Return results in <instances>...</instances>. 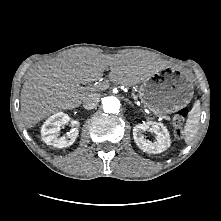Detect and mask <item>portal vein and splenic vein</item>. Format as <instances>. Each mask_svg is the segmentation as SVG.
<instances>
[{
    "instance_id": "portal-vein-and-splenic-vein-1",
    "label": "portal vein and splenic vein",
    "mask_w": 221,
    "mask_h": 221,
    "mask_svg": "<svg viewBox=\"0 0 221 221\" xmlns=\"http://www.w3.org/2000/svg\"><path fill=\"white\" fill-rule=\"evenodd\" d=\"M108 87V85L106 83H101V84H98V85H94V86H90L88 88H91V89H99V90H104ZM145 113H147L148 115H151V112L148 111V110H145ZM166 119H168V117H164Z\"/></svg>"
}]
</instances>
